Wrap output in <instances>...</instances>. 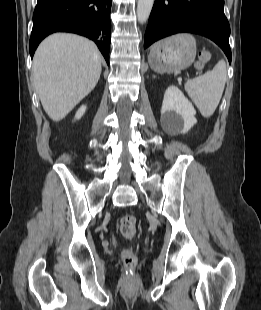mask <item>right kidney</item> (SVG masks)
Returning <instances> with one entry per match:
<instances>
[{
    "label": "right kidney",
    "mask_w": 261,
    "mask_h": 310,
    "mask_svg": "<svg viewBox=\"0 0 261 310\" xmlns=\"http://www.w3.org/2000/svg\"><path fill=\"white\" fill-rule=\"evenodd\" d=\"M86 111V106L82 105L75 114V119H80Z\"/></svg>",
    "instance_id": "1"
}]
</instances>
